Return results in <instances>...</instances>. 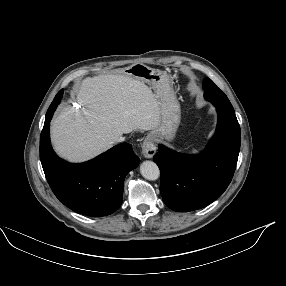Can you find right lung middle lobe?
<instances>
[{
  "label": "right lung middle lobe",
  "instance_id": "right-lung-middle-lobe-1",
  "mask_svg": "<svg viewBox=\"0 0 286 286\" xmlns=\"http://www.w3.org/2000/svg\"><path fill=\"white\" fill-rule=\"evenodd\" d=\"M62 96H63V90L59 91V93L55 96V98H54V100L51 103L49 108H51V106H53V105H56V108H57V106L60 104V100H61ZM47 112H49V111H47Z\"/></svg>",
  "mask_w": 286,
  "mask_h": 286
}]
</instances>
